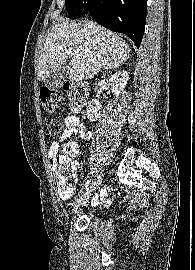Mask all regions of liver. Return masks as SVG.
Instances as JSON below:
<instances>
[{
  "instance_id": "obj_1",
  "label": "liver",
  "mask_w": 195,
  "mask_h": 270,
  "mask_svg": "<svg viewBox=\"0 0 195 270\" xmlns=\"http://www.w3.org/2000/svg\"><path fill=\"white\" fill-rule=\"evenodd\" d=\"M129 52V45L120 36L93 21L60 23L53 27L44 42L37 77L45 80L73 55L66 77L72 82L89 79L102 70L124 64Z\"/></svg>"
}]
</instances>
